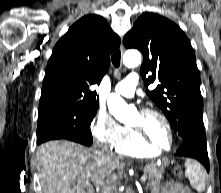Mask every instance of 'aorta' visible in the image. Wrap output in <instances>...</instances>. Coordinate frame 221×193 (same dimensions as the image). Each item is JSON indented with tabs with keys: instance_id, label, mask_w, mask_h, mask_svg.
Masks as SVG:
<instances>
[{
	"instance_id": "obj_1",
	"label": "aorta",
	"mask_w": 221,
	"mask_h": 193,
	"mask_svg": "<svg viewBox=\"0 0 221 193\" xmlns=\"http://www.w3.org/2000/svg\"><path fill=\"white\" fill-rule=\"evenodd\" d=\"M123 64L128 68L139 66L141 64L140 52L137 50L127 51L123 56ZM107 105L110 113L120 122L124 121L134 112V108L129 106L122 97L115 93L108 96Z\"/></svg>"
}]
</instances>
